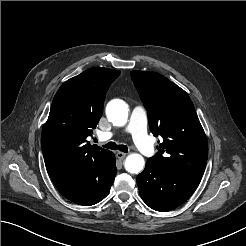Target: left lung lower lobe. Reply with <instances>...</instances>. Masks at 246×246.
Wrapping results in <instances>:
<instances>
[{"mask_svg": "<svg viewBox=\"0 0 246 246\" xmlns=\"http://www.w3.org/2000/svg\"><path fill=\"white\" fill-rule=\"evenodd\" d=\"M202 175L146 163L137 176L144 202L157 211H170L183 204L196 190Z\"/></svg>", "mask_w": 246, "mask_h": 246, "instance_id": "obj_1", "label": "left lung lower lobe"}]
</instances>
